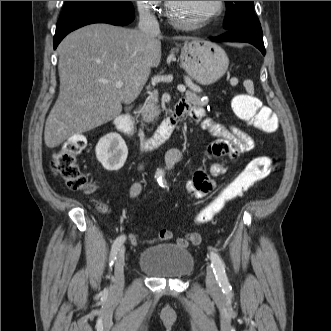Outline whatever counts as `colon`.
<instances>
[{"mask_svg":"<svg viewBox=\"0 0 331 331\" xmlns=\"http://www.w3.org/2000/svg\"><path fill=\"white\" fill-rule=\"evenodd\" d=\"M232 108L241 121L261 132L272 133L278 129L277 115L268 107L262 106L260 100L252 94L236 95L232 100ZM85 146L86 140L83 136L70 137L54 154L52 169L70 190L92 193L95 186L82 172L78 163V156ZM271 169L272 161L268 156L254 158L214 200L199 212L196 222L198 224L213 222L229 202L243 197L254 185L265 179ZM182 239L193 245L201 243V237L196 233H190Z\"/></svg>","mask_w":331,"mask_h":331,"instance_id":"colon-1","label":"colon"}]
</instances>
